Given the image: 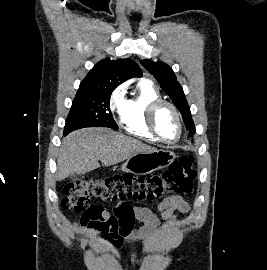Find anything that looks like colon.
<instances>
[{
	"mask_svg": "<svg viewBox=\"0 0 267 270\" xmlns=\"http://www.w3.org/2000/svg\"><path fill=\"white\" fill-rule=\"evenodd\" d=\"M194 158L184 156L173 162L168 170L149 176L122 174L105 179H81L64 188L61 207L75 213H89L92 199L103 202L133 200L162 201L190 191L196 177Z\"/></svg>",
	"mask_w": 267,
	"mask_h": 270,
	"instance_id": "5ec220e1",
	"label": "colon"
}]
</instances>
